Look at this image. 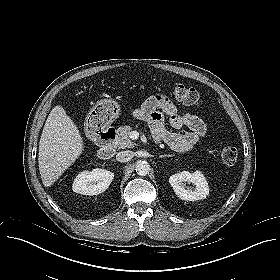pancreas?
I'll list each match as a JSON object with an SVG mask.
<instances>
[{
  "label": "pancreas",
  "mask_w": 280,
  "mask_h": 280,
  "mask_svg": "<svg viewBox=\"0 0 280 280\" xmlns=\"http://www.w3.org/2000/svg\"><path fill=\"white\" fill-rule=\"evenodd\" d=\"M131 130L132 127L129 125H125L117 129L116 142L119 148L125 149V148H133L135 146V143H133L129 137Z\"/></svg>",
  "instance_id": "pancreas-1"
}]
</instances>
